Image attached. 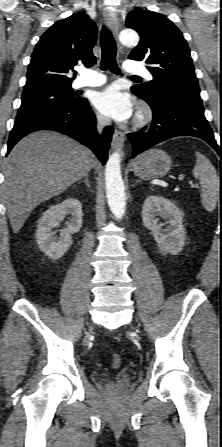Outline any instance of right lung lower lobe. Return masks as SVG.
Here are the masks:
<instances>
[{"label": "right lung lower lobe", "mask_w": 222, "mask_h": 447, "mask_svg": "<svg viewBox=\"0 0 222 447\" xmlns=\"http://www.w3.org/2000/svg\"><path fill=\"white\" fill-rule=\"evenodd\" d=\"M96 118L86 99L77 103L54 108L44 113L24 118H16L8 141V153L24 136L38 130H52L63 133L88 146L105 164L113 134V127L104 129L97 135Z\"/></svg>", "instance_id": "obj_1"}]
</instances>
